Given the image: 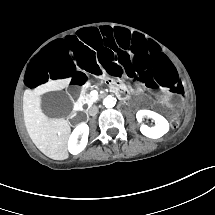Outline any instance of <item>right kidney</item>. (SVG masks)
I'll return each instance as SVG.
<instances>
[{"label":"right kidney","mask_w":215,"mask_h":215,"mask_svg":"<svg viewBox=\"0 0 215 215\" xmlns=\"http://www.w3.org/2000/svg\"><path fill=\"white\" fill-rule=\"evenodd\" d=\"M76 129H79L76 136H74V132ZM75 130L72 132L69 141H68V150L71 154L76 155L83 151L88 142V135H89V127L86 123L79 124ZM82 135L80 144H77L78 136Z\"/></svg>","instance_id":"1"}]
</instances>
